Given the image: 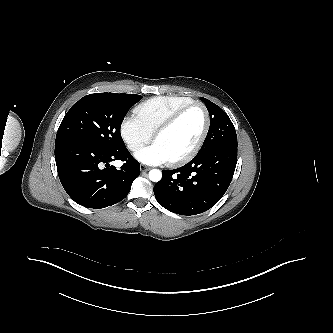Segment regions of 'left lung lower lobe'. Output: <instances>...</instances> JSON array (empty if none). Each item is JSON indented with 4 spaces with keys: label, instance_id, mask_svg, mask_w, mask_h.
Returning <instances> with one entry per match:
<instances>
[{
    "label": "left lung lower lobe",
    "instance_id": "left-lung-lower-lobe-1",
    "mask_svg": "<svg viewBox=\"0 0 333 333\" xmlns=\"http://www.w3.org/2000/svg\"><path fill=\"white\" fill-rule=\"evenodd\" d=\"M237 163V146L225 145L198 153L186 165L163 170L154 186L158 203L180 215H196L213 207L229 187Z\"/></svg>",
    "mask_w": 333,
    "mask_h": 333
}]
</instances>
